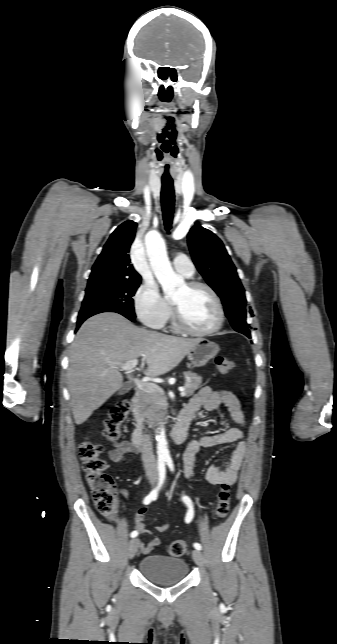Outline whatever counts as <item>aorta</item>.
<instances>
[{"label": "aorta", "instance_id": "obj_1", "mask_svg": "<svg viewBox=\"0 0 337 644\" xmlns=\"http://www.w3.org/2000/svg\"><path fill=\"white\" fill-rule=\"evenodd\" d=\"M145 245L151 268L161 284L164 294L173 295L179 288L184 286L185 282L181 276H178L173 271L161 235L155 231L149 232L145 239ZM156 439L159 458L169 459L168 443L163 427L160 428Z\"/></svg>", "mask_w": 337, "mask_h": 644}]
</instances>
